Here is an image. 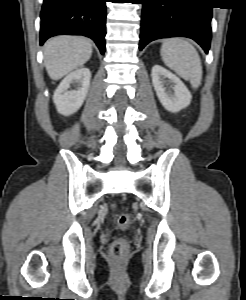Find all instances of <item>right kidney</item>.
<instances>
[{"label": "right kidney", "mask_w": 246, "mask_h": 300, "mask_svg": "<svg viewBox=\"0 0 246 300\" xmlns=\"http://www.w3.org/2000/svg\"><path fill=\"white\" fill-rule=\"evenodd\" d=\"M91 72L88 68H80L69 73L59 84L53 95L57 111L69 116L82 106L90 87ZM74 85V90L68 89Z\"/></svg>", "instance_id": "1"}]
</instances>
